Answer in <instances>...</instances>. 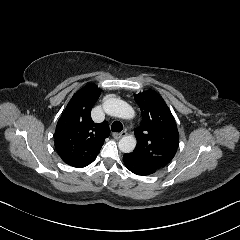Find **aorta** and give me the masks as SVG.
I'll return each instance as SVG.
<instances>
[{"mask_svg":"<svg viewBox=\"0 0 240 240\" xmlns=\"http://www.w3.org/2000/svg\"><path fill=\"white\" fill-rule=\"evenodd\" d=\"M104 110L108 115L119 117L121 119L132 120L136 113L131 105L127 102L111 98L104 103ZM137 145V138L135 135H125L119 140V149L124 153L132 152Z\"/></svg>","mask_w":240,"mask_h":240,"instance_id":"1","label":"aorta"}]
</instances>
